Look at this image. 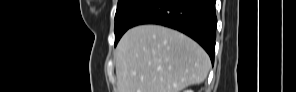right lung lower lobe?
Wrapping results in <instances>:
<instances>
[{
  "label": "right lung lower lobe",
  "instance_id": "98d812e1",
  "mask_svg": "<svg viewBox=\"0 0 296 92\" xmlns=\"http://www.w3.org/2000/svg\"><path fill=\"white\" fill-rule=\"evenodd\" d=\"M216 0H154L134 20L176 29L197 41L214 61L217 17Z\"/></svg>",
  "mask_w": 296,
  "mask_h": 92
}]
</instances>
